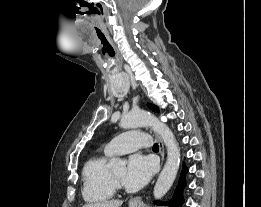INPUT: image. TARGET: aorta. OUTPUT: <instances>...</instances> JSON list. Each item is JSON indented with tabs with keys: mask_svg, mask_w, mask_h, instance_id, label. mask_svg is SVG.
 I'll list each match as a JSON object with an SVG mask.
<instances>
[{
	"mask_svg": "<svg viewBox=\"0 0 261 207\" xmlns=\"http://www.w3.org/2000/svg\"><path fill=\"white\" fill-rule=\"evenodd\" d=\"M119 125L123 129L149 126L162 138L167 148V160L153 191L154 198H162L171 188L180 165V149L173 132L166 124L145 110L124 114ZM110 164L112 166H119L124 165L125 162L121 159L113 158Z\"/></svg>",
	"mask_w": 261,
	"mask_h": 207,
	"instance_id": "762f6f07",
	"label": "aorta"
}]
</instances>
